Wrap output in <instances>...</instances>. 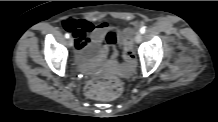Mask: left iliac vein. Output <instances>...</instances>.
Here are the masks:
<instances>
[{
  "label": "left iliac vein",
  "mask_w": 218,
  "mask_h": 122,
  "mask_svg": "<svg viewBox=\"0 0 218 122\" xmlns=\"http://www.w3.org/2000/svg\"><path fill=\"white\" fill-rule=\"evenodd\" d=\"M136 43H140L142 41V34L138 32L135 36Z\"/></svg>",
  "instance_id": "4c4485c4"
}]
</instances>
